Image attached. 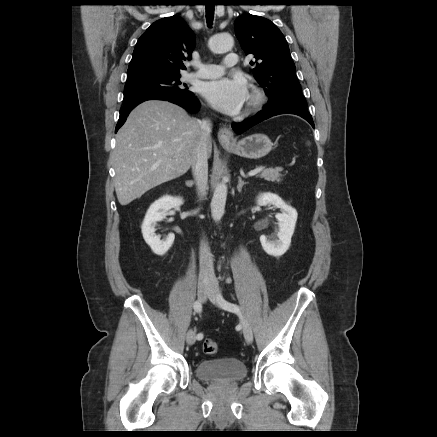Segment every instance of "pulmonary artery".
I'll use <instances>...</instances> for the list:
<instances>
[{"label":"pulmonary artery","instance_id":"e3ab8cb5","mask_svg":"<svg viewBox=\"0 0 437 437\" xmlns=\"http://www.w3.org/2000/svg\"><path fill=\"white\" fill-rule=\"evenodd\" d=\"M238 63V56L236 53H228L224 59L223 65L216 64H199L198 70L193 73V76L202 79L217 78L224 73L225 68H231Z\"/></svg>","mask_w":437,"mask_h":437}]
</instances>
